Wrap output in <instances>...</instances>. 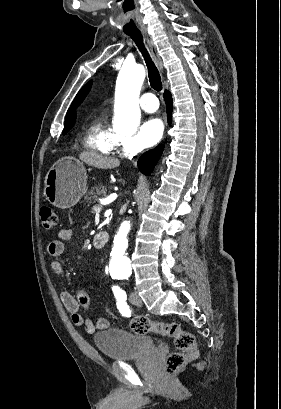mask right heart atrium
<instances>
[{
    "label": "right heart atrium",
    "mask_w": 281,
    "mask_h": 409,
    "mask_svg": "<svg viewBox=\"0 0 281 409\" xmlns=\"http://www.w3.org/2000/svg\"><path fill=\"white\" fill-rule=\"evenodd\" d=\"M126 116L128 118V126H132L134 120H139V114L138 115H126ZM121 139H122L123 145L129 151H139V150H141V144L136 139V137H122Z\"/></svg>",
    "instance_id": "d8ad5b80"
}]
</instances>
